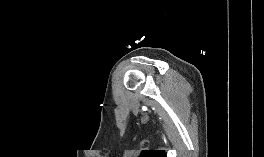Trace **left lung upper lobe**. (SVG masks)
Here are the masks:
<instances>
[{
    "label": "left lung upper lobe",
    "mask_w": 264,
    "mask_h": 157,
    "mask_svg": "<svg viewBox=\"0 0 264 157\" xmlns=\"http://www.w3.org/2000/svg\"><path fill=\"white\" fill-rule=\"evenodd\" d=\"M140 157H167L166 154L162 151H156V150H147L144 151Z\"/></svg>",
    "instance_id": "obj_1"
}]
</instances>
